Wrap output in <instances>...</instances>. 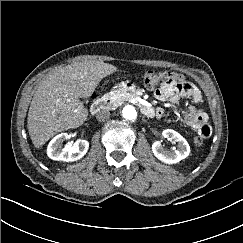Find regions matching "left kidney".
<instances>
[{
  "mask_svg": "<svg viewBox=\"0 0 243 243\" xmlns=\"http://www.w3.org/2000/svg\"><path fill=\"white\" fill-rule=\"evenodd\" d=\"M163 137L178 143V148L166 150L160 141L152 144V152L157 159L166 164H175L185 159L190 153L188 142L178 132L172 129H166L162 132Z\"/></svg>",
  "mask_w": 243,
  "mask_h": 243,
  "instance_id": "1",
  "label": "left kidney"
}]
</instances>
